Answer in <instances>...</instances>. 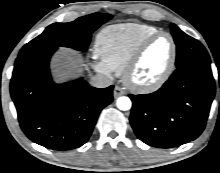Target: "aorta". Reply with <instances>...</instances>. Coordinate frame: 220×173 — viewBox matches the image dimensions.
<instances>
[{
  "instance_id": "1",
  "label": "aorta",
  "mask_w": 220,
  "mask_h": 173,
  "mask_svg": "<svg viewBox=\"0 0 220 173\" xmlns=\"http://www.w3.org/2000/svg\"><path fill=\"white\" fill-rule=\"evenodd\" d=\"M116 105L118 109L122 111H127L131 108L132 102L128 97L122 96L117 99Z\"/></svg>"
}]
</instances>
